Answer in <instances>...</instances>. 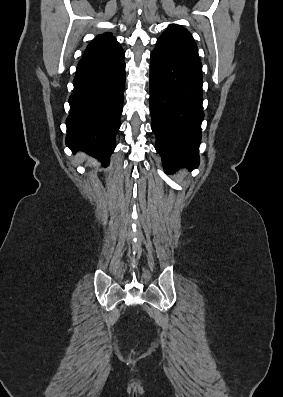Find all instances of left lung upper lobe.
<instances>
[{
  "label": "left lung upper lobe",
  "instance_id": "obj_1",
  "mask_svg": "<svg viewBox=\"0 0 283 397\" xmlns=\"http://www.w3.org/2000/svg\"><path fill=\"white\" fill-rule=\"evenodd\" d=\"M157 44L173 51L190 64L202 69L197 45L192 35L182 26L175 24L169 25L158 38Z\"/></svg>",
  "mask_w": 283,
  "mask_h": 397
}]
</instances>
